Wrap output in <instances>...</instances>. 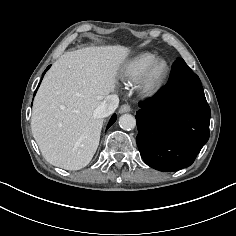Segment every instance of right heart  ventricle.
<instances>
[{
	"label": "right heart ventricle",
	"mask_w": 236,
	"mask_h": 236,
	"mask_svg": "<svg viewBox=\"0 0 236 236\" xmlns=\"http://www.w3.org/2000/svg\"><path fill=\"white\" fill-rule=\"evenodd\" d=\"M157 58V55L151 52L137 54L123 66L121 70L122 79L129 83L139 80Z\"/></svg>",
	"instance_id": "e07e8e85"
}]
</instances>
